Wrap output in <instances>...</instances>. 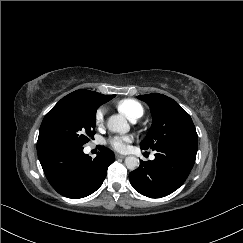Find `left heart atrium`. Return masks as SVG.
<instances>
[{
    "mask_svg": "<svg viewBox=\"0 0 243 243\" xmlns=\"http://www.w3.org/2000/svg\"><path fill=\"white\" fill-rule=\"evenodd\" d=\"M130 142L131 138L127 136H114L108 140V144L117 151L127 150Z\"/></svg>",
    "mask_w": 243,
    "mask_h": 243,
    "instance_id": "39dd6f15",
    "label": "left heart atrium"
}]
</instances>
